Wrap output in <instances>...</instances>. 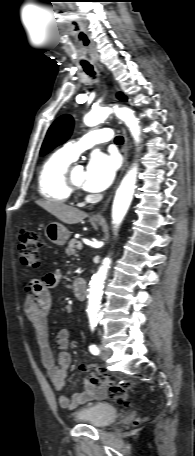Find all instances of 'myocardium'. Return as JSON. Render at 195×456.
Instances as JSON below:
<instances>
[{
  "label": "myocardium",
  "mask_w": 195,
  "mask_h": 456,
  "mask_svg": "<svg viewBox=\"0 0 195 456\" xmlns=\"http://www.w3.org/2000/svg\"><path fill=\"white\" fill-rule=\"evenodd\" d=\"M74 169L73 166H70L66 172V182H67V185L69 186V188L71 189V191L73 193H80L82 191V186L76 184L73 179H72V170Z\"/></svg>",
  "instance_id": "obj_1"
}]
</instances>
